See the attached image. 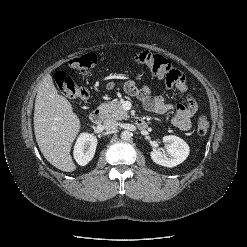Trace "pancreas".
Listing matches in <instances>:
<instances>
[{
	"label": "pancreas",
	"instance_id": "cf45deb5",
	"mask_svg": "<svg viewBox=\"0 0 247 247\" xmlns=\"http://www.w3.org/2000/svg\"><path fill=\"white\" fill-rule=\"evenodd\" d=\"M98 108L108 118H113L116 120H122V119H126L128 117V114L123 109L120 101H110L107 103H102Z\"/></svg>",
	"mask_w": 247,
	"mask_h": 247
}]
</instances>
